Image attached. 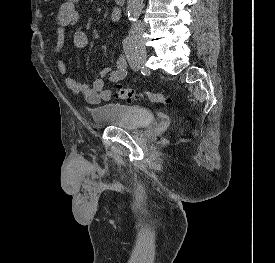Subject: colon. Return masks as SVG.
Returning a JSON list of instances; mask_svg holds the SVG:
<instances>
[{
    "instance_id": "5ec220e1",
    "label": "colon",
    "mask_w": 275,
    "mask_h": 263,
    "mask_svg": "<svg viewBox=\"0 0 275 263\" xmlns=\"http://www.w3.org/2000/svg\"><path fill=\"white\" fill-rule=\"evenodd\" d=\"M116 95L118 98L125 101L147 99L153 103L167 104L170 102V98L163 94H158L150 90L139 91L134 87H119L116 91Z\"/></svg>"
}]
</instances>
